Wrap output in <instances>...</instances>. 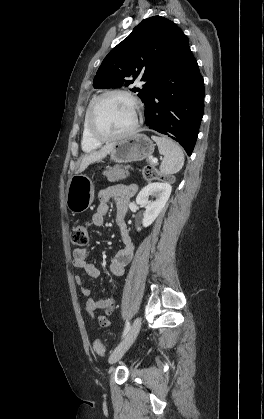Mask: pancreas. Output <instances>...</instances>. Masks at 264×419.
<instances>
[{"label": "pancreas", "mask_w": 264, "mask_h": 419, "mask_svg": "<svg viewBox=\"0 0 264 419\" xmlns=\"http://www.w3.org/2000/svg\"><path fill=\"white\" fill-rule=\"evenodd\" d=\"M148 162H151V159H149ZM152 165H154V163H152ZM128 169L129 166L122 167L120 165H116L113 168L105 170L103 175L106 176L110 182H118L121 179H125L129 175Z\"/></svg>", "instance_id": "obj_1"}]
</instances>
